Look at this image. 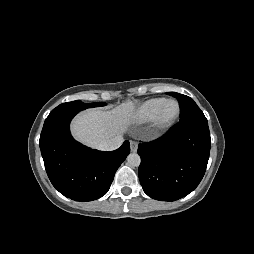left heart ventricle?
Returning <instances> with one entry per match:
<instances>
[{"label": "left heart ventricle", "instance_id": "1", "mask_svg": "<svg viewBox=\"0 0 254 254\" xmlns=\"http://www.w3.org/2000/svg\"><path fill=\"white\" fill-rule=\"evenodd\" d=\"M177 106L175 103H170L167 105L165 110V117L170 118L172 117L176 112Z\"/></svg>", "mask_w": 254, "mask_h": 254}]
</instances>
